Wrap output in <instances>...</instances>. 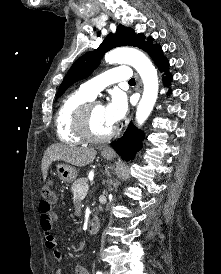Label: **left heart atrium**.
<instances>
[{
	"label": "left heart atrium",
	"instance_id": "1",
	"mask_svg": "<svg viewBox=\"0 0 221 274\" xmlns=\"http://www.w3.org/2000/svg\"><path fill=\"white\" fill-rule=\"evenodd\" d=\"M127 104L123 96L115 95L111 101L104 107L106 124L113 128L125 116Z\"/></svg>",
	"mask_w": 221,
	"mask_h": 274
}]
</instances>
